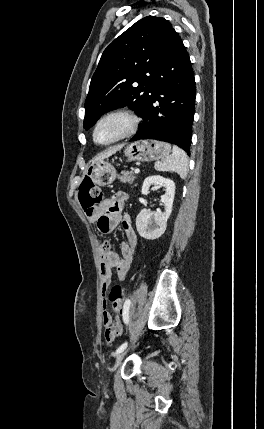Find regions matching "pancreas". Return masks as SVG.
Instances as JSON below:
<instances>
[{
	"label": "pancreas",
	"mask_w": 264,
	"mask_h": 429,
	"mask_svg": "<svg viewBox=\"0 0 264 429\" xmlns=\"http://www.w3.org/2000/svg\"><path fill=\"white\" fill-rule=\"evenodd\" d=\"M135 178L136 177L134 176L132 171H122L121 175L118 177V179L125 184L132 183Z\"/></svg>",
	"instance_id": "1"
}]
</instances>
